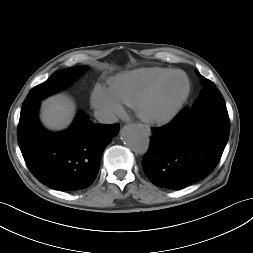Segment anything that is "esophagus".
I'll list each match as a JSON object with an SVG mask.
<instances>
[{
  "label": "esophagus",
  "instance_id": "esophagus-1",
  "mask_svg": "<svg viewBox=\"0 0 253 253\" xmlns=\"http://www.w3.org/2000/svg\"><path fill=\"white\" fill-rule=\"evenodd\" d=\"M140 128H142L146 133L150 134V128L146 125L140 124Z\"/></svg>",
  "mask_w": 253,
  "mask_h": 253
}]
</instances>
